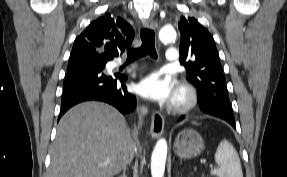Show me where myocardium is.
I'll return each mask as SVG.
<instances>
[{
	"instance_id": "f54148a6",
	"label": "myocardium",
	"mask_w": 287,
	"mask_h": 177,
	"mask_svg": "<svg viewBox=\"0 0 287 177\" xmlns=\"http://www.w3.org/2000/svg\"><path fill=\"white\" fill-rule=\"evenodd\" d=\"M198 102V94L193 86L182 83L176 90L169 109L174 113H184L191 110Z\"/></svg>"
}]
</instances>
